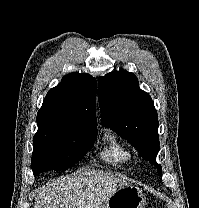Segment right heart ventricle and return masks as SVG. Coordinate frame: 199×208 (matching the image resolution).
<instances>
[{"mask_svg":"<svg viewBox=\"0 0 199 208\" xmlns=\"http://www.w3.org/2000/svg\"><path fill=\"white\" fill-rule=\"evenodd\" d=\"M106 141V145L100 154L101 159L113 165H124L131 161V151L117 136L114 134L107 135Z\"/></svg>","mask_w":199,"mask_h":208,"instance_id":"right-heart-ventricle-1","label":"right heart ventricle"}]
</instances>
